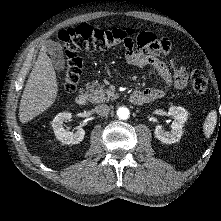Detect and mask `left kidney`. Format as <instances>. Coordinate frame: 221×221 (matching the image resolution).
I'll use <instances>...</instances> for the list:
<instances>
[{"label": "left kidney", "instance_id": "1", "mask_svg": "<svg viewBox=\"0 0 221 221\" xmlns=\"http://www.w3.org/2000/svg\"><path fill=\"white\" fill-rule=\"evenodd\" d=\"M169 113L175 117L171 131H165L160 125H157L154 131L156 138L165 144H172L179 141L184 123L188 117V112L182 107L171 106Z\"/></svg>", "mask_w": 221, "mask_h": 221}]
</instances>
